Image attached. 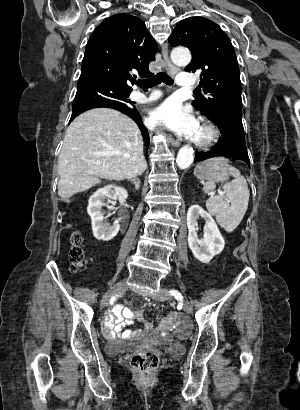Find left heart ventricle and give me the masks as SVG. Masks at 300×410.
Wrapping results in <instances>:
<instances>
[{
    "label": "left heart ventricle",
    "instance_id": "b2bd125f",
    "mask_svg": "<svg viewBox=\"0 0 300 410\" xmlns=\"http://www.w3.org/2000/svg\"><path fill=\"white\" fill-rule=\"evenodd\" d=\"M205 133L200 128H198L195 138H202L204 137Z\"/></svg>",
    "mask_w": 300,
    "mask_h": 410
}]
</instances>
